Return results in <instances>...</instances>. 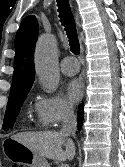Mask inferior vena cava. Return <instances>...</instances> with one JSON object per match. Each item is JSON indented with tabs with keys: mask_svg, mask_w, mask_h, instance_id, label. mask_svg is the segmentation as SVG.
<instances>
[{
	"mask_svg": "<svg viewBox=\"0 0 125 167\" xmlns=\"http://www.w3.org/2000/svg\"><path fill=\"white\" fill-rule=\"evenodd\" d=\"M77 128V119L74 112L70 108H64L62 110V129L61 134L65 136H75Z\"/></svg>",
	"mask_w": 125,
	"mask_h": 167,
	"instance_id": "602c4592",
	"label": "inferior vena cava"
}]
</instances>
